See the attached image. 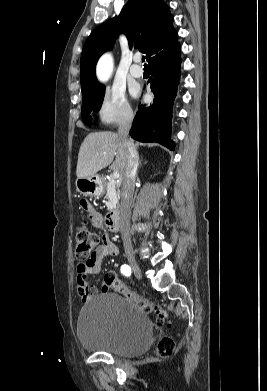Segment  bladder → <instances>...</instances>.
I'll use <instances>...</instances> for the list:
<instances>
[{
    "label": "bladder",
    "mask_w": 267,
    "mask_h": 391,
    "mask_svg": "<svg viewBox=\"0 0 267 391\" xmlns=\"http://www.w3.org/2000/svg\"><path fill=\"white\" fill-rule=\"evenodd\" d=\"M77 335L87 350L134 357L150 347L153 326L134 302L117 293H104L82 307Z\"/></svg>",
    "instance_id": "31cf9c89"
}]
</instances>
